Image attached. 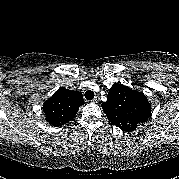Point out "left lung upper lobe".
<instances>
[{"instance_id":"obj_1","label":"left lung upper lobe","mask_w":179,"mask_h":179,"mask_svg":"<svg viewBox=\"0 0 179 179\" xmlns=\"http://www.w3.org/2000/svg\"><path fill=\"white\" fill-rule=\"evenodd\" d=\"M108 120L123 131H133L151 115V105L142 93L121 83L109 90L107 101L101 104Z\"/></svg>"}]
</instances>
